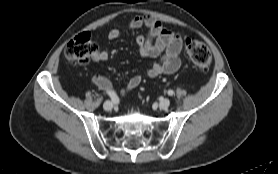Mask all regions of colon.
<instances>
[{"mask_svg": "<svg viewBox=\"0 0 278 174\" xmlns=\"http://www.w3.org/2000/svg\"><path fill=\"white\" fill-rule=\"evenodd\" d=\"M185 49L196 68L200 70L209 68L212 57L204 43L194 38H186ZM96 51V43L92 40L89 33L84 32L70 40L65 48V56L79 65H86L90 61L92 54Z\"/></svg>", "mask_w": 278, "mask_h": 174, "instance_id": "1", "label": "colon"}]
</instances>
